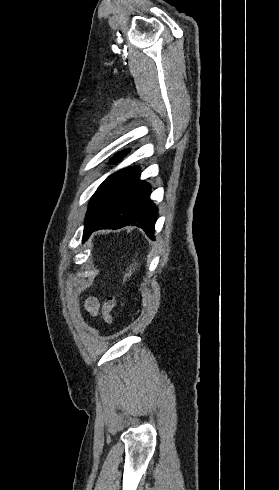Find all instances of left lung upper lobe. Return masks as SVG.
<instances>
[{
    "label": "left lung upper lobe",
    "instance_id": "1",
    "mask_svg": "<svg viewBox=\"0 0 279 490\" xmlns=\"http://www.w3.org/2000/svg\"><path fill=\"white\" fill-rule=\"evenodd\" d=\"M128 151L117 153L110 162L120 161ZM136 167L123 169L109 176L92 196L85 218L83 241L87 230L107 215L116 203L117 195Z\"/></svg>",
    "mask_w": 279,
    "mask_h": 490
}]
</instances>
